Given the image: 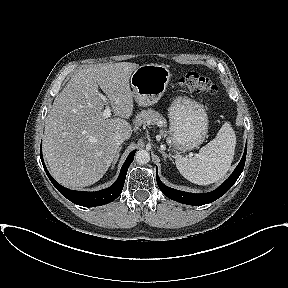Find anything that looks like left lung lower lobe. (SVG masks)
Returning a JSON list of instances; mask_svg holds the SVG:
<instances>
[{"mask_svg":"<svg viewBox=\"0 0 288 288\" xmlns=\"http://www.w3.org/2000/svg\"><path fill=\"white\" fill-rule=\"evenodd\" d=\"M246 153H247V143L245 146L243 157L236 167V169L233 171V173L230 175V177L215 191L210 193H202V194H193L188 192H183L179 190H175L172 188H169L165 186L159 179L158 175L156 176L157 184L160 188V190L163 192L164 195H166L168 198L178 201L183 204L187 205H193V206H199L211 203L221 196H223L237 181L238 177L243 171L245 160H246Z\"/></svg>","mask_w":288,"mask_h":288,"instance_id":"1","label":"left lung lower lobe"}]
</instances>
